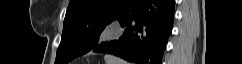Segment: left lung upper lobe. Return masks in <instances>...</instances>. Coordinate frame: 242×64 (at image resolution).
Wrapping results in <instances>:
<instances>
[{"instance_id":"5c2ea615","label":"left lung upper lobe","mask_w":242,"mask_h":64,"mask_svg":"<svg viewBox=\"0 0 242 64\" xmlns=\"http://www.w3.org/2000/svg\"><path fill=\"white\" fill-rule=\"evenodd\" d=\"M132 0H70L55 64H67L99 43L105 27Z\"/></svg>"}]
</instances>
